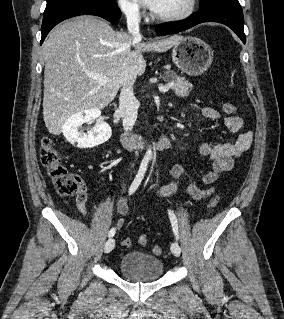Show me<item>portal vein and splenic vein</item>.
<instances>
[{"label":"portal vein and splenic vein","mask_w":284,"mask_h":319,"mask_svg":"<svg viewBox=\"0 0 284 319\" xmlns=\"http://www.w3.org/2000/svg\"><path fill=\"white\" fill-rule=\"evenodd\" d=\"M90 77L95 79V80H98L99 84H101V85H104V84H107L110 82V79L106 76H103V75L93 74V75H90ZM172 85L173 84L161 86V87H159V91L165 93L171 88Z\"/></svg>","instance_id":"18ae733b"}]
</instances>
